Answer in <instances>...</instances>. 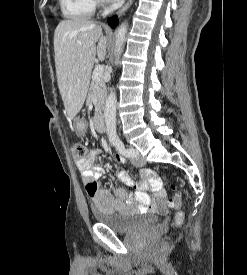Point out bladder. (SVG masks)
Listing matches in <instances>:
<instances>
[{"instance_id": "obj_1", "label": "bladder", "mask_w": 247, "mask_h": 275, "mask_svg": "<svg viewBox=\"0 0 247 275\" xmlns=\"http://www.w3.org/2000/svg\"><path fill=\"white\" fill-rule=\"evenodd\" d=\"M93 216L96 223L108 226L114 231L123 233L132 232L139 227L155 225L161 219V217L157 215L108 213L97 208L93 210Z\"/></svg>"}]
</instances>
